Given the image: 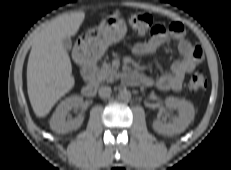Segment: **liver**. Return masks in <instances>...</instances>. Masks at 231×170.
Listing matches in <instances>:
<instances>
[{"label": "liver", "mask_w": 231, "mask_h": 170, "mask_svg": "<svg viewBox=\"0 0 231 170\" xmlns=\"http://www.w3.org/2000/svg\"><path fill=\"white\" fill-rule=\"evenodd\" d=\"M84 18V12L63 14L33 38L27 65V91L37 117H45L75 85L70 57L62 41L78 32Z\"/></svg>", "instance_id": "obj_1"}]
</instances>
